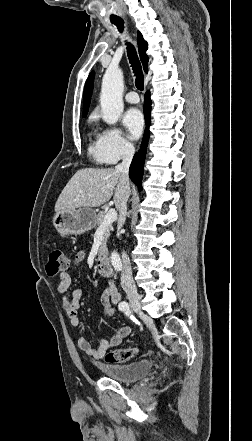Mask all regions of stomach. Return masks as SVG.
I'll use <instances>...</instances> for the list:
<instances>
[{"instance_id": "0dacf381", "label": "stomach", "mask_w": 252, "mask_h": 441, "mask_svg": "<svg viewBox=\"0 0 252 441\" xmlns=\"http://www.w3.org/2000/svg\"><path fill=\"white\" fill-rule=\"evenodd\" d=\"M96 212L90 208L56 212L52 218L55 229L61 236L79 235L94 227Z\"/></svg>"}]
</instances>
